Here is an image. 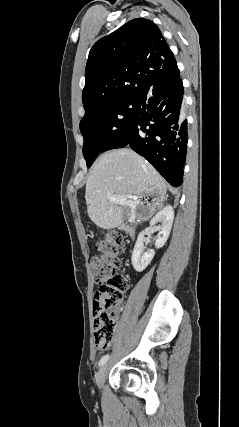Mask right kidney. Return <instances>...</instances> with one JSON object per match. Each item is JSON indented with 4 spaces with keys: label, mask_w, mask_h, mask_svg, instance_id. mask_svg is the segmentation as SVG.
Segmentation results:
<instances>
[{
    "label": "right kidney",
    "mask_w": 239,
    "mask_h": 427,
    "mask_svg": "<svg viewBox=\"0 0 239 427\" xmlns=\"http://www.w3.org/2000/svg\"><path fill=\"white\" fill-rule=\"evenodd\" d=\"M174 220V210L168 205L160 210L150 221V226L153 227L157 223H160L158 226L159 233L157 239L155 240V247L157 249L164 246L166 243ZM144 232L139 233L134 250L132 252V265L137 272H142L152 261L155 251L150 249L145 251L146 247L144 246Z\"/></svg>",
    "instance_id": "obj_1"
}]
</instances>
